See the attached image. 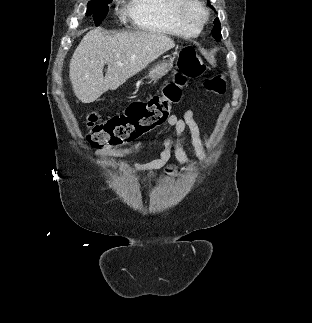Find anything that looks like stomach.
I'll return each mask as SVG.
<instances>
[{"instance_id": "obj_1", "label": "stomach", "mask_w": 312, "mask_h": 323, "mask_svg": "<svg viewBox=\"0 0 312 323\" xmlns=\"http://www.w3.org/2000/svg\"><path fill=\"white\" fill-rule=\"evenodd\" d=\"M173 60L174 58H170V60H166V62H163V64H156V66H153L147 78H150V80H159V78L165 76V74H167V72L173 68Z\"/></svg>"}]
</instances>
